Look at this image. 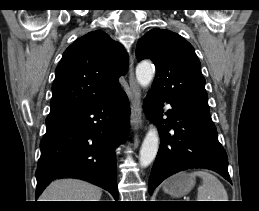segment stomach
Returning <instances> with one entry per match:
<instances>
[{
  "label": "stomach",
  "instance_id": "stomach-1",
  "mask_svg": "<svg viewBox=\"0 0 259 211\" xmlns=\"http://www.w3.org/2000/svg\"><path fill=\"white\" fill-rule=\"evenodd\" d=\"M194 184L195 178L183 172L168 179L163 186V190L171 196L180 197L189 193Z\"/></svg>",
  "mask_w": 259,
  "mask_h": 211
}]
</instances>
